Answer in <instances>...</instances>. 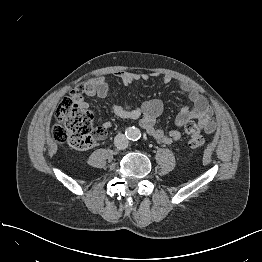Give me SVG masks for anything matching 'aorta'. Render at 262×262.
I'll return each instance as SVG.
<instances>
[{
    "label": "aorta",
    "instance_id": "aorta-1",
    "mask_svg": "<svg viewBox=\"0 0 262 262\" xmlns=\"http://www.w3.org/2000/svg\"><path fill=\"white\" fill-rule=\"evenodd\" d=\"M127 136L130 140L136 141L141 137V132L136 127H131L127 131Z\"/></svg>",
    "mask_w": 262,
    "mask_h": 262
}]
</instances>
